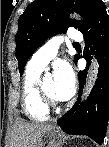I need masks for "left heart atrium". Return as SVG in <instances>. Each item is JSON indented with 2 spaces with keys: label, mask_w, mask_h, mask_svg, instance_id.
<instances>
[{
  "label": "left heart atrium",
  "mask_w": 109,
  "mask_h": 147,
  "mask_svg": "<svg viewBox=\"0 0 109 147\" xmlns=\"http://www.w3.org/2000/svg\"><path fill=\"white\" fill-rule=\"evenodd\" d=\"M54 94L57 100L65 101L70 99L76 87V79L72 66L61 61L57 63L54 71Z\"/></svg>",
  "instance_id": "obj_1"
}]
</instances>
